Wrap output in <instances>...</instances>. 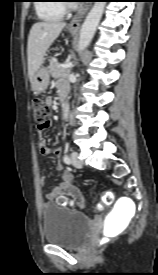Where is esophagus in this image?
<instances>
[{"instance_id":"esophagus-1","label":"esophagus","mask_w":158,"mask_h":275,"mask_svg":"<svg viewBox=\"0 0 158 275\" xmlns=\"http://www.w3.org/2000/svg\"><path fill=\"white\" fill-rule=\"evenodd\" d=\"M91 7V3H86L83 7H81L78 12L76 13V15L73 17V19L71 20V22L69 23L68 27L70 30L72 31H78L80 28V25L85 17V15L87 14L88 10Z\"/></svg>"}]
</instances>
